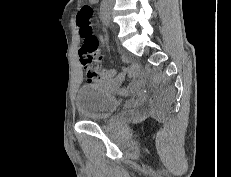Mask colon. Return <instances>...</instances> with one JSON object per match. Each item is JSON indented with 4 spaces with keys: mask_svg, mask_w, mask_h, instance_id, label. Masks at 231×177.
Returning a JSON list of instances; mask_svg holds the SVG:
<instances>
[{
    "mask_svg": "<svg viewBox=\"0 0 231 177\" xmlns=\"http://www.w3.org/2000/svg\"><path fill=\"white\" fill-rule=\"evenodd\" d=\"M93 10L90 5L85 4L81 7L78 15V27L82 37V45L79 49V56L85 68L93 67L98 53L99 41L93 34L91 25Z\"/></svg>",
    "mask_w": 231,
    "mask_h": 177,
    "instance_id": "colon-1",
    "label": "colon"
}]
</instances>
